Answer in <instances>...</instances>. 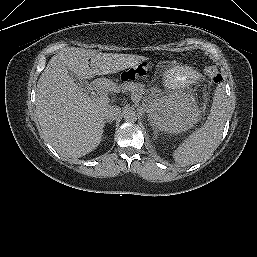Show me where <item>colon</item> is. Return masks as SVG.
I'll list each match as a JSON object with an SVG mask.
<instances>
[{
  "mask_svg": "<svg viewBox=\"0 0 257 257\" xmlns=\"http://www.w3.org/2000/svg\"><path fill=\"white\" fill-rule=\"evenodd\" d=\"M152 70H153V67L150 64L142 63L124 71L121 74V78L124 81L136 80L147 76L150 72H152ZM205 74L208 77V79L213 83H220L222 81L221 74L213 66L206 67Z\"/></svg>",
  "mask_w": 257,
  "mask_h": 257,
  "instance_id": "obj_1",
  "label": "colon"
}]
</instances>
